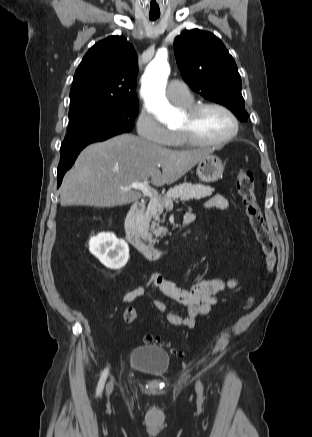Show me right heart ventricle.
Returning a JSON list of instances; mask_svg holds the SVG:
<instances>
[{
	"mask_svg": "<svg viewBox=\"0 0 312 437\" xmlns=\"http://www.w3.org/2000/svg\"><path fill=\"white\" fill-rule=\"evenodd\" d=\"M192 104H193V102L191 101L190 103H188L186 105H181V106L186 108V107L191 106ZM169 145H171V146H187L188 144L184 141V139L182 138L179 131H176V132H173V137H172V140H171Z\"/></svg>",
	"mask_w": 312,
	"mask_h": 437,
	"instance_id": "right-heart-ventricle-1",
	"label": "right heart ventricle"
}]
</instances>
